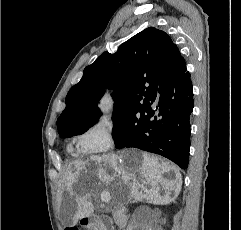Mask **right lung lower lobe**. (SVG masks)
<instances>
[{
	"mask_svg": "<svg viewBox=\"0 0 241 230\" xmlns=\"http://www.w3.org/2000/svg\"><path fill=\"white\" fill-rule=\"evenodd\" d=\"M193 106V85L183 59L162 78L148 103L146 124L116 147H136L187 168Z\"/></svg>",
	"mask_w": 241,
	"mask_h": 230,
	"instance_id": "right-lung-lower-lobe-1",
	"label": "right lung lower lobe"
}]
</instances>
